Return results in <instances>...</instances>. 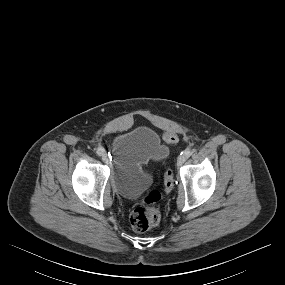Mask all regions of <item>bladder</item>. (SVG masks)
<instances>
[{
	"label": "bladder",
	"instance_id": "bladder-1",
	"mask_svg": "<svg viewBox=\"0 0 285 285\" xmlns=\"http://www.w3.org/2000/svg\"><path fill=\"white\" fill-rule=\"evenodd\" d=\"M110 152L112 186L118 195L132 199L151 184V176L144 165L166 155L167 147L157 131L138 126L115 135Z\"/></svg>",
	"mask_w": 285,
	"mask_h": 285
}]
</instances>
